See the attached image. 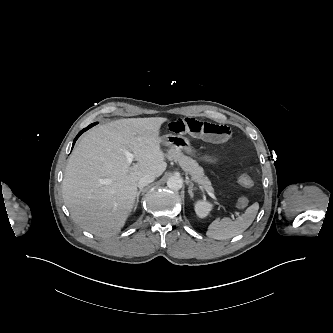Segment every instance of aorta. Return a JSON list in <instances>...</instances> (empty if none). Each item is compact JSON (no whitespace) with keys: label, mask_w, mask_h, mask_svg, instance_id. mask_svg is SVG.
<instances>
[{"label":"aorta","mask_w":333,"mask_h":333,"mask_svg":"<svg viewBox=\"0 0 333 333\" xmlns=\"http://www.w3.org/2000/svg\"><path fill=\"white\" fill-rule=\"evenodd\" d=\"M182 185H183V180H182V178H180L178 176L170 177L167 180V186L171 190H176V191L180 190L182 188Z\"/></svg>","instance_id":"762f6f07"}]
</instances>
